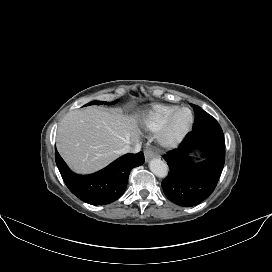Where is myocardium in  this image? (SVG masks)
Here are the masks:
<instances>
[{"label": "myocardium", "instance_id": "myocardium-1", "mask_svg": "<svg viewBox=\"0 0 272 272\" xmlns=\"http://www.w3.org/2000/svg\"><path fill=\"white\" fill-rule=\"evenodd\" d=\"M187 111L189 113V119L185 126L179 131L173 130V122L176 116L182 112ZM194 123V115L189 107H178L176 108L166 119L162 127L158 131L157 142L158 144L166 149H171L179 145L190 132Z\"/></svg>", "mask_w": 272, "mask_h": 272}]
</instances>
